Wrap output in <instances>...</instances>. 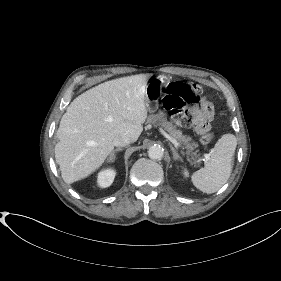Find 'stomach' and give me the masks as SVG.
I'll use <instances>...</instances> for the list:
<instances>
[{
  "label": "stomach",
  "mask_w": 281,
  "mask_h": 281,
  "mask_svg": "<svg viewBox=\"0 0 281 281\" xmlns=\"http://www.w3.org/2000/svg\"><path fill=\"white\" fill-rule=\"evenodd\" d=\"M166 81L162 77H156L150 80L146 87L145 105L150 112L158 109V98L162 93V88Z\"/></svg>",
  "instance_id": "stomach-1"
}]
</instances>
